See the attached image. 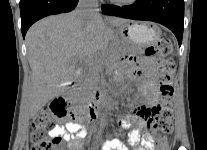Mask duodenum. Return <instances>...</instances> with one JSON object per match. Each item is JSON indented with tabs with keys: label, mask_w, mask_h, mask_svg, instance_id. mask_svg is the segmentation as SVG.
Listing matches in <instances>:
<instances>
[{
	"label": "duodenum",
	"mask_w": 207,
	"mask_h": 150,
	"mask_svg": "<svg viewBox=\"0 0 207 150\" xmlns=\"http://www.w3.org/2000/svg\"><path fill=\"white\" fill-rule=\"evenodd\" d=\"M79 88L77 84H72L69 88L68 95L69 97H73L75 94H77ZM105 98V92L102 89H99L94 92V94L91 96L89 100L88 107H77L74 109V112L71 113L72 117H89L94 118L97 110L99 109L100 105L102 104L103 100Z\"/></svg>",
	"instance_id": "obj_1"
}]
</instances>
